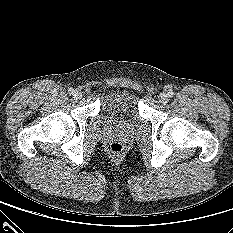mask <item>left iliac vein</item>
<instances>
[{
	"label": "left iliac vein",
	"instance_id": "4c4485c4",
	"mask_svg": "<svg viewBox=\"0 0 233 233\" xmlns=\"http://www.w3.org/2000/svg\"><path fill=\"white\" fill-rule=\"evenodd\" d=\"M168 100H169V97H168V95L166 93H161L159 95V102L161 104H166L168 102Z\"/></svg>",
	"mask_w": 233,
	"mask_h": 233
}]
</instances>
